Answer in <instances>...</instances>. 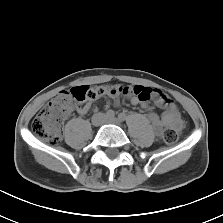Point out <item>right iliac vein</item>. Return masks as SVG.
<instances>
[{
  "instance_id": "right-iliac-vein-1",
  "label": "right iliac vein",
  "mask_w": 223,
  "mask_h": 223,
  "mask_svg": "<svg viewBox=\"0 0 223 223\" xmlns=\"http://www.w3.org/2000/svg\"><path fill=\"white\" fill-rule=\"evenodd\" d=\"M104 119V115L103 114H98L94 117V119L92 120L93 125L98 126L100 124V121Z\"/></svg>"
}]
</instances>
